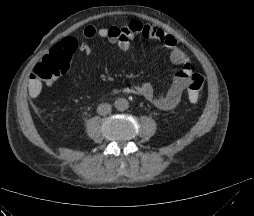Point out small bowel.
Returning <instances> with one entry per match:
<instances>
[{"mask_svg":"<svg viewBox=\"0 0 254 216\" xmlns=\"http://www.w3.org/2000/svg\"><path fill=\"white\" fill-rule=\"evenodd\" d=\"M142 35L144 38L156 40L169 50V60L179 66L180 70L175 74L172 84L166 90H157L150 84L126 85L111 89L118 94H133L150 101L155 107L162 111H170L176 108L181 100L182 94L187 86L190 68V57L182 49L177 40L152 24H142L133 20L121 26L96 27L88 25L83 30L86 39H106L109 43L116 45L121 51L130 49L135 35ZM51 49H58L66 54L73 55L76 51L84 54L90 53V46L87 43H79L75 38L68 37L56 43ZM50 49V50H51ZM34 74V72H33ZM32 74V75H33Z\"/></svg>","mask_w":254,"mask_h":216,"instance_id":"1","label":"small bowel"}]
</instances>
